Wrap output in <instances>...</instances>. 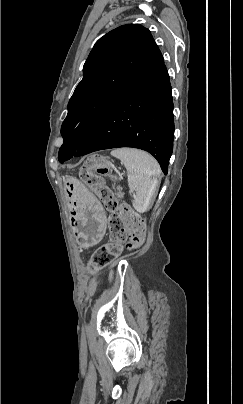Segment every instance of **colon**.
<instances>
[{"instance_id": "1", "label": "colon", "mask_w": 243, "mask_h": 404, "mask_svg": "<svg viewBox=\"0 0 243 404\" xmlns=\"http://www.w3.org/2000/svg\"><path fill=\"white\" fill-rule=\"evenodd\" d=\"M106 160L100 156L91 157L83 166L80 176L84 183L102 201L110 212L108 227L110 242L99 247L89 262L90 271H97L111 263L126 248L140 246L145 239L143 218L127 205H120L118 193L108 187L101 173L107 171Z\"/></svg>"}]
</instances>
